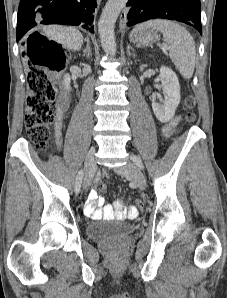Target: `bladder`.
Returning <instances> with one entry per match:
<instances>
[{
  "mask_svg": "<svg viewBox=\"0 0 227 298\" xmlns=\"http://www.w3.org/2000/svg\"><path fill=\"white\" fill-rule=\"evenodd\" d=\"M134 229L132 223L107 220L90 223L86 227V234L91 239H113L128 236Z\"/></svg>",
  "mask_w": 227,
  "mask_h": 298,
  "instance_id": "obj_1",
  "label": "bladder"
}]
</instances>
